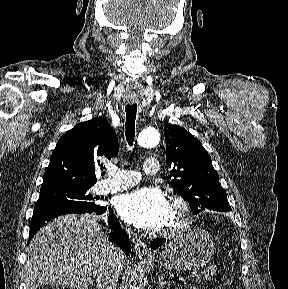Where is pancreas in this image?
<instances>
[{"label":"pancreas","instance_id":"cf45deb5","mask_svg":"<svg viewBox=\"0 0 288 289\" xmlns=\"http://www.w3.org/2000/svg\"><path fill=\"white\" fill-rule=\"evenodd\" d=\"M209 272H210V270H207V271H206V273H209Z\"/></svg>","mask_w":288,"mask_h":289}]
</instances>
